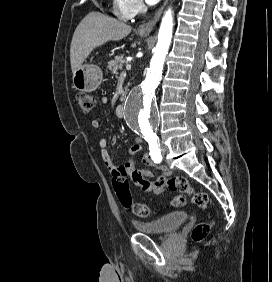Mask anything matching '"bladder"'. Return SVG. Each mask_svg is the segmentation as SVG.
<instances>
[{
	"instance_id": "31cf9c89",
	"label": "bladder",
	"mask_w": 272,
	"mask_h": 282,
	"mask_svg": "<svg viewBox=\"0 0 272 282\" xmlns=\"http://www.w3.org/2000/svg\"><path fill=\"white\" fill-rule=\"evenodd\" d=\"M187 218V212L176 211L153 221L134 220L133 225L140 233L161 234L176 230Z\"/></svg>"
}]
</instances>
